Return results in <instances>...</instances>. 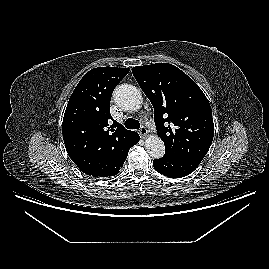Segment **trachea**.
Returning <instances> with one entry per match:
<instances>
[{"mask_svg": "<svg viewBox=\"0 0 269 269\" xmlns=\"http://www.w3.org/2000/svg\"><path fill=\"white\" fill-rule=\"evenodd\" d=\"M125 127L127 129H139L140 128V123L138 120L133 119V118H128L125 121Z\"/></svg>", "mask_w": 269, "mask_h": 269, "instance_id": "1", "label": "trachea"}]
</instances>
